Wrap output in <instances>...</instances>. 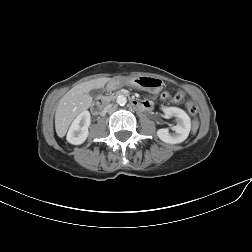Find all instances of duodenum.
I'll list each match as a JSON object with an SVG mask.
<instances>
[{
	"mask_svg": "<svg viewBox=\"0 0 252 252\" xmlns=\"http://www.w3.org/2000/svg\"><path fill=\"white\" fill-rule=\"evenodd\" d=\"M117 86H118V83H116L115 81H111L109 83V90L114 91ZM130 103L133 107H135L137 109H141V110L143 109V103L140 101H137L135 99H131ZM104 110H105V106H104L103 101H99L94 104L93 111L95 114H97V115L101 114L104 112Z\"/></svg>",
	"mask_w": 252,
	"mask_h": 252,
	"instance_id": "duodenum-1",
	"label": "duodenum"
}]
</instances>
